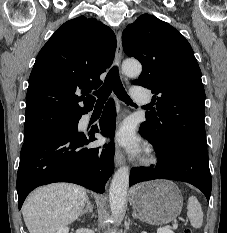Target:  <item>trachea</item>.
Wrapping results in <instances>:
<instances>
[{
	"label": "trachea",
	"instance_id": "trachea-1",
	"mask_svg": "<svg viewBox=\"0 0 227 233\" xmlns=\"http://www.w3.org/2000/svg\"><path fill=\"white\" fill-rule=\"evenodd\" d=\"M112 91L120 100L128 105H133L132 100L128 96L120 80L117 66H114L110 69L102 87L98 91L94 92V94L98 97L96 105H104Z\"/></svg>",
	"mask_w": 227,
	"mask_h": 233
}]
</instances>
